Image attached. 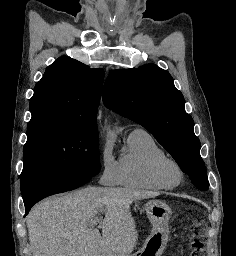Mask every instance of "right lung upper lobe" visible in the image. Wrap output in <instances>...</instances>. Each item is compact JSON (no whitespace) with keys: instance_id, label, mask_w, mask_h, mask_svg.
I'll return each instance as SVG.
<instances>
[{"instance_id":"1","label":"right lung upper lobe","mask_w":236,"mask_h":256,"mask_svg":"<svg viewBox=\"0 0 236 256\" xmlns=\"http://www.w3.org/2000/svg\"><path fill=\"white\" fill-rule=\"evenodd\" d=\"M104 79L101 68L60 57L45 71L30 100L31 120L96 126Z\"/></svg>"}]
</instances>
